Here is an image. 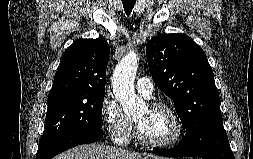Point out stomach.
<instances>
[{"mask_svg": "<svg viewBox=\"0 0 253 159\" xmlns=\"http://www.w3.org/2000/svg\"><path fill=\"white\" fill-rule=\"evenodd\" d=\"M148 159H161V158H159V157H150V158H148ZM167 159V158H166Z\"/></svg>", "mask_w": 253, "mask_h": 159, "instance_id": "stomach-1", "label": "stomach"}]
</instances>
